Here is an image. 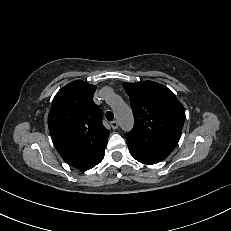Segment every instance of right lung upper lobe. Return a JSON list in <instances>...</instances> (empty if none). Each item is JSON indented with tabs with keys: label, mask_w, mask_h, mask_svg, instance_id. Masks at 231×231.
I'll return each mask as SVG.
<instances>
[{
	"label": "right lung upper lobe",
	"mask_w": 231,
	"mask_h": 231,
	"mask_svg": "<svg viewBox=\"0 0 231 231\" xmlns=\"http://www.w3.org/2000/svg\"><path fill=\"white\" fill-rule=\"evenodd\" d=\"M96 86L77 80L55 95L48 115L52 141L61 157L79 170L104 158L109 136L102 114L93 102Z\"/></svg>",
	"instance_id": "cb5924a9"
}]
</instances>
